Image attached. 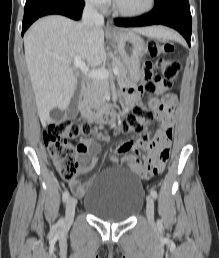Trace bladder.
Masks as SVG:
<instances>
[{"label":"bladder","mask_w":219,"mask_h":258,"mask_svg":"<svg viewBox=\"0 0 219 258\" xmlns=\"http://www.w3.org/2000/svg\"><path fill=\"white\" fill-rule=\"evenodd\" d=\"M144 188L131 171L114 168L93 177L83 197V207L92 215L108 221L130 219L141 208Z\"/></svg>","instance_id":"obj_1"}]
</instances>
